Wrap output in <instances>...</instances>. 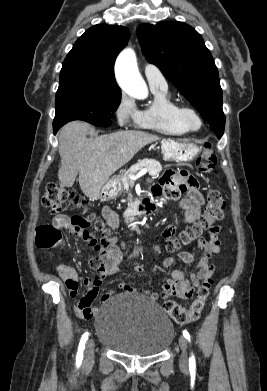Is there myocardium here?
Wrapping results in <instances>:
<instances>
[{"label": "myocardium", "mask_w": 267, "mask_h": 391, "mask_svg": "<svg viewBox=\"0 0 267 391\" xmlns=\"http://www.w3.org/2000/svg\"><path fill=\"white\" fill-rule=\"evenodd\" d=\"M178 116L183 125L190 131H198L203 126V118L200 112L190 105H181L178 107ZM195 120V123L191 121Z\"/></svg>", "instance_id": "1"}]
</instances>
